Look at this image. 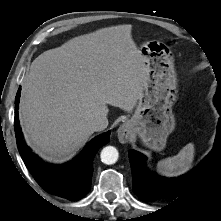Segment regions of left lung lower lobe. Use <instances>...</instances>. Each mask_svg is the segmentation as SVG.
I'll list each match as a JSON object with an SVG mask.
<instances>
[{
	"mask_svg": "<svg viewBox=\"0 0 221 221\" xmlns=\"http://www.w3.org/2000/svg\"><path fill=\"white\" fill-rule=\"evenodd\" d=\"M220 114L217 125L216 144L221 143V97L214 100ZM215 148V147H214ZM214 151V149H213ZM213 151L192 171L174 179H167L150 173L145 167V156L130 150L129 160L132 170V183L134 193L143 201L154 202L158 199L177 197L192 187L204 174Z\"/></svg>",
	"mask_w": 221,
	"mask_h": 221,
	"instance_id": "1",
	"label": "left lung lower lobe"
}]
</instances>
